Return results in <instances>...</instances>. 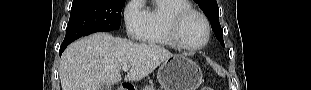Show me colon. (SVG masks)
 Listing matches in <instances>:
<instances>
[{"mask_svg":"<svg viewBox=\"0 0 311 90\" xmlns=\"http://www.w3.org/2000/svg\"><path fill=\"white\" fill-rule=\"evenodd\" d=\"M200 90H213V89L210 87H202Z\"/></svg>","mask_w":311,"mask_h":90,"instance_id":"obj_1","label":"colon"}]
</instances>
